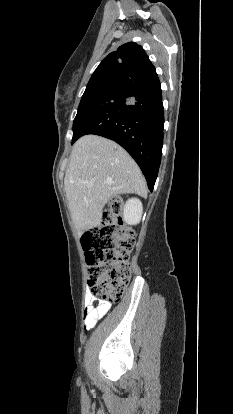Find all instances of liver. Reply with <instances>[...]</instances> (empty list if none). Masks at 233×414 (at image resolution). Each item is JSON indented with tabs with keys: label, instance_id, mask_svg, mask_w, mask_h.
Listing matches in <instances>:
<instances>
[{
	"label": "liver",
	"instance_id": "obj_1",
	"mask_svg": "<svg viewBox=\"0 0 233 414\" xmlns=\"http://www.w3.org/2000/svg\"><path fill=\"white\" fill-rule=\"evenodd\" d=\"M64 186L79 235L100 225L112 197L147 196L145 179L130 155L114 141L92 134L74 144Z\"/></svg>",
	"mask_w": 233,
	"mask_h": 414
}]
</instances>
